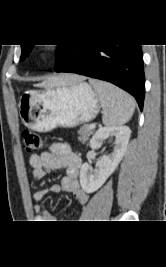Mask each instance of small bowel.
<instances>
[{"instance_id": "obj_1", "label": "small bowel", "mask_w": 166, "mask_h": 267, "mask_svg": "<svg viewBox=\"0 0 166 267\" xmlns=\"http://www.w3.org/2000/svg\"><path fill=\"white\" fill-rule=\"evenodd\" d=\"M29 163L32 168V178L35 181H41L46 174L50 172L60 169L65 170V175L59 185H53L50 188L41 189L34 193L33 199L36 203L35 218L38 222L57 220L56 216L51 215L47 211H43L40 205V202L48 192L71 193L82 206L88 202V194L81 189L78 179L81 168V159L67 144L54 143L48 151L31 155Z\"/></svg>"}]
</instances>
